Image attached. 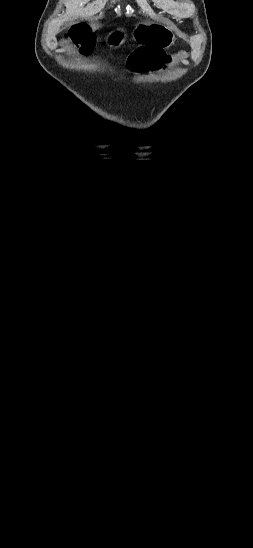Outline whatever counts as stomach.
Returning a JSON list of instances; mask_svg holds the SVG:
<instances>
[{
    "mask_svg": "<svg viewBox=\"0 0 253 548\" xmlns=\"http://www.w3.org/2000/svg\"><path fill=\"white\" fill-rule=\"evenodd\" d=\"M135 39L140 43H160L170 45L174 40L173 33L159 24L140 25L135 32ZM126 41L124 29L117 28L106 37V44L111 48H118Z\"/></svg>",
    "mask_w": 253,
    "mask_h": 548,
    "instance_id": "stomach-1",
    "label": "stomach"
}]
</instances>
